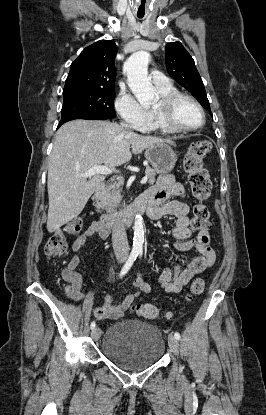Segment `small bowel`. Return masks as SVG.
I'll use <instances>...</instances> for the list:
<instances>
[{"mask_svg": "<svg viewBox=\"0 0 266 415\" xmlns=\"http://www.w3.org/2000/svg\"><path fill=\"white\" fill-rule=\"evenodd\" d=\"M184 196L185 188L183 184L176 181L173 176L167 175L161 177L155 185L139 198V201L146 204L147 213L151 219L158 220L167 215L175 217V225L172 229V236L176 239L175 249L182 252L195 249L199 253V256L194 257L184 268H181L180 263H176L171 268H166L161 272L159 282L163 289L169 293H179L195 275L210 268L215 262V252L210 245L208 230L200 231L196 238L189 239L191 235L188 217L189 206L179 200ZM169 197L177 199L167 201ZM94 235L106 239L109 230L97 221L92 222L74 241L72 250L75 253L79 252L85 246L87 240ZM80 261V256L75 254L63 271L64 278L71 283L73 288L71 297L75 301L86 299L81 291V275L75 271ZM133 285L135 291L129 292L122 301H116L109 296H105L103 304L93 309L94 316L98 320L121 318L140 294H148L151 291L149 283L140 274L134 280Z\"/></svg>", "mask_w": 266, "mask_h": 415, "instance_id": "c3829d8e", "label": "small bowel"}]
</instances>
